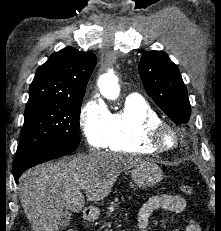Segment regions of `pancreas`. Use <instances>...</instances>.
<instances>
[{"label": "pancreas", "mask_w": 221, "mask_h": 231, "mask_svg": "<svg viewBox=\"0 0 221 231\" xmlns=\"http://www.w3.org/2000/svg\"><path fill=\"white\" fill-rule=\"evenodd\" d=\"M121 199L124 201V198L121 197ZM118 206V198H115L113 202H111L110 206L108 207L107 216H110V214L115 210V208Z\"/></svg>", "instance_id": "obj_1"}]
</instances>
